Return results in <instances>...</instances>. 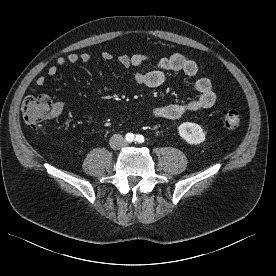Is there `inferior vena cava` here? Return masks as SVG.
<instances>
[{"mask_svg":"<svg viewBox=\"0 0 276 276\" xmlns=\"http://www.w3.org/2000/svg\"><path fill=\"white\" fill-rule=\"evenodd\" d=\"M126 145V140L120 134H114L110 138V146L114 150H118Z\"/></svg>","mask_w":276,"mask_h":276,"instance_id":"obj_1","label":"inferior vena cava"}]
</instances>
